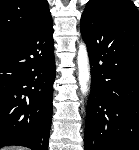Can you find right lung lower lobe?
Instances as JSON below:
<instances>
[{
  "mask_svg": "<svg viewBox=\"0 0 139 150\" xmlns=\"http://www.w3.org/2000/svg\"><path fill=\"white\" fill-rule=\"evenodd\" d=\"M54 79L51 16L33 31L0 43V148L48 149Z\"/></svg>",
  "mask_w": 139,
  "mask_h": 150,
  "instance_id": "98d812e1",
  "label": "right lung lower lobe"
}]
</instances>
